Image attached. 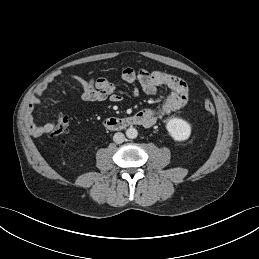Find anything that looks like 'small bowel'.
I'll list each match as a JSON object with an SVG mask.
<instances>
[{"instance_id":"c3829d8e","label":"small bowel","mask_w":259,"mask_h":259,"mask_svg":"<svg viewBox=\"0 0 259 259\" xmlns=\"http://www.w3.org/2000/svg\"><path fill=\"white\" fill-rule=\"evenodd\" d=\"M67 77L81 87V98L84 101L119 102L122 99L116 85L106 78L87 80L76 74H68ZM121 77L127 83H137L139 85L133 90L135 96L139 95L140 90L146 94L156 93L158 87H167L170 90V93L159 107L143 109L136 114L140 117L143 122L142 125L145 127H149L166 115L183 108L189 100L190 90L187 83L182 78L167 72L159 70L149 72L145 69L127 67L123 69ZM45 91L46 87L40 86L34 96L30 98L26 109L25 123L29 132L34 136L49 134L55 127L53 122L38 124L33 116L34 109L39 104L40 97L44 95Z\"/></svg>"}]
</instances>
